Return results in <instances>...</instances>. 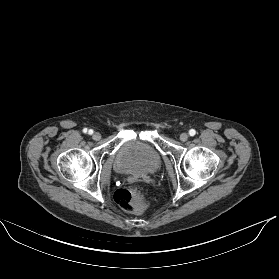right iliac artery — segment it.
<instances>
[{"instance_id": "right-iliac-artery-1", "label": "right iliac artery", "mask_w": 279, "mask_h": 279, "mask_svg": "<svg viewBox=\"0 0 279 279\" xmlns=\"http://www.w3.org/2000/svg\"><path fill=\"white\" fill-rule=\"evenodd\" d=\"M83 132H84V133H88V134H92V133H93V130H91V129L88 130L87 128H84V129H83Z\"/></svg>"}]
</instances>
